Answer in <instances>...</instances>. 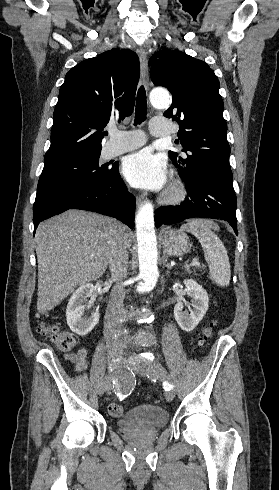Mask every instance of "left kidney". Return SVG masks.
<instances>
[{"instance_id":"1","label":"left kidney","mask_w":279,"mask_h":490,"mask_svg":"<svg viewBox=\"0 0 279 490\" xmlns=\"http://www.w3.org/2000/svg\"><path fill=\"white\" fill-rule=\"evenodd\" d=\"M187 296L191 298L190 312H183V302L178 300L174 306V318L181 330L192 332L199 322L203 320L209 306V298L206 290L194 280H184Z\"/></svg>"}]
</instances>
